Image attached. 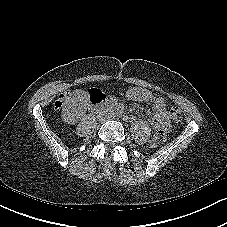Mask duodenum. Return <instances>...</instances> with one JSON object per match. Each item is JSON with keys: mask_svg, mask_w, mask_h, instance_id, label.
I'll use <instances>...</instances> for the list:
<instances>
[{"mask_svg": "<svg viewBox=\"0 0 227 227\" xmlns=\"http://www.w3.org/2000/svg\"><path fill=\"white\" fill-rule=\"evenodd\" d=\"M90 103L93 107H98L100 105H110L114 108V113L120 115L124 119H132V115L127 114L123 111L121 106H118L117 102L109 96H106L105 92L100 88L93 89L89 94Z\"/></svg>", "mask_w": 227, "mask_h": 227, "instance_id": "duodenum-1", "label": "duodenum"}]
</instances>
